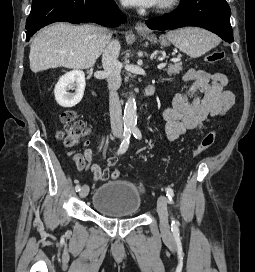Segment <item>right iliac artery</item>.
Masks as SVG:
<instances>
[{
  "label": "right iliac artery",
  "mask_w": 255,
  "mask_h": 272,
  "mask_svg": "<svg viewBox=\"0 0 255 272\" xmlns=\"http://www.w3.org/2000/svg\"><path fill=\"white\" fill-rule=\"evenodd\" d=\"M130 137H131V130L130 129H125L124 133H123V141L117 151V154H123L126 152V150L128 149L129 146V142H130ZM81 187L80 185H76L75 186V190L78 192L80 191Z\"/></svg>",
  "instance_id": "1"
}]
</instances>
